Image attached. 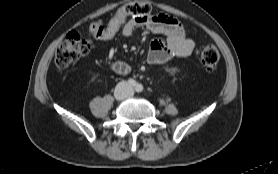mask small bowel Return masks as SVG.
Returning <instances> with one entry per match:
<instances>
[{"label":"small bowel","instance_id":"small-bowel-1","mask_svg":"<svg viewBox=\"0 0 278 174\" xmlns=\"http://www.w3.org/2000/svg\"><path fill=\"white\" fill-rule=\"evenodd\" d=\"M174 20L176 19L162 13L132 16L122 23L119 32L130 36L136 29L143 28L161 36L151 43L147 60L150 64H163L174 57H188L195 48L194 41L187 37L185 31L176 30L172 24Z\"/></svg>","mask_w":278,"mask_h":174}]
</instances>
